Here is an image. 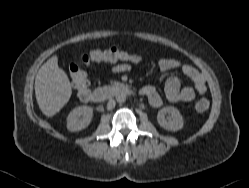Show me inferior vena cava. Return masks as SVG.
<instances>
[{
	"label": "inferior vena cava",
	"instance_id": "inferior-vena-cava-1",
	"mask_svg": "<svg viewBox=\"0 0 249 188\" xmlns=\"http://www.w3.org/2000/svg\"><path fill=\"white\" fill-rule=\"evenodd\" d=\"M116 105V102L115 100L113 99H110L107 103V110H112Z\"/></svg>",
	"mask_w": 249,
	"mask_h": 188
}]
</instances>
